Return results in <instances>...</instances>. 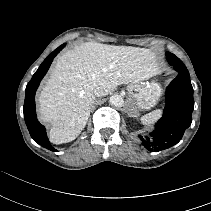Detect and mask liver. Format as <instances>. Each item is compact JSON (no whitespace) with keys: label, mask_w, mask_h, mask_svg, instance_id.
I'll list each match as a JSON object with an SVG mask.
<instances>
[{"label":"liver","mask_w":211,"mask_h":211,"mask_svg":"<svg viewBox=\"0 0 211 211\" xmlns=\"http://www.w3.org/2000/svg\"><path fill=\"white\" fill-rule=\"evenodd\" d=\"M158 73L156 56L149 49L82 43L58 57L38 96L39 119L52 126V143L70 142L86 126L96 87L108 95L118 85L144 81Z\"/></svg>","instance_id":"obj_1"}]
</instances>
